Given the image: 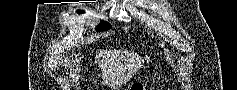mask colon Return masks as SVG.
Masks as SVG:
<instances>
[{
    "label": "colon",
    "instance_id": "5ec220e1",
    "mask_svg": "<svg viewBox=\"0 0 237 90\" xmlns=\"http://www.w3.org/2000/svg\"><path fill=\"white\" fill-rule=\"evenodd\" d=\"M151 88L146 84V83H134L131 87L130 90H150Z\"/></svg>",
    "mask_w": 237,
    "mask_h": 90
}]
</instances>
